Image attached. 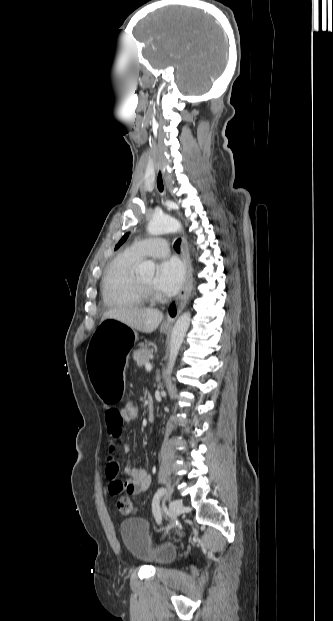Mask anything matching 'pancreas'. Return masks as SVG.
<instances>
[{
    "mask_svg": "<svg viewBox=\"0 0 333 621\" xmlns=\"http://www.w3.org/2000/svg\"><path fill=\"white\" fill-rule=\"evenodd\" d=\"M150 358L151 352L147 347L140 348L133 352V359L136 360L139 367L149 363Z\"/></svg>",
    "mask_w": 333,
    "mask_h": 621,
    "instance_id": "cf45deb5",
    "label": "pancreas"
}]
</instances>
